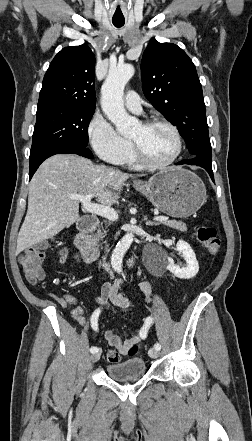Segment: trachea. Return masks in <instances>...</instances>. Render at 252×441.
<instances>
[{"instance_id": "1", "label": "trachea", "mask_w": 252, "mask_h": 441, "mask_svg": "<svg viewBox=\"0 0 252 441\" xmlns=\"http://www.w3.org/2000/svg\"><path fill=\"white\" fill-rule=\"evenodd\" d=\"M112 22H113L114 26L117 27V28L122 27L124 25V23H125L124 20H119V21L113 20Z\"/></svg>"}]
</instances>
